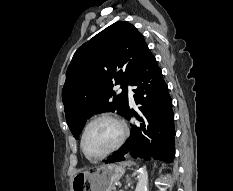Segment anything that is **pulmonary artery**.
Returning <instances> with one entry per match:
<instances>
[{
	"mask_svg": "<svg viewBox=\"0 0 233 191\" xmlns=\"http://www.w3.org/2000/svg\"><path fill=\"white\" fill-rule=\"evenodd\" d=\"M127 89H128L129 101L131 104H134V97H133L134 93L132 91V88L130 86H128Z\"/></svg>",
	"mask_w": 233,
	"mask_h": 191,
	"instance_id": "obj_1",
	"label": "pulmonary artery"
}]
</instances>
